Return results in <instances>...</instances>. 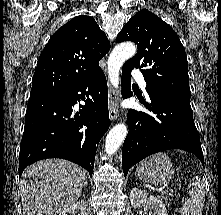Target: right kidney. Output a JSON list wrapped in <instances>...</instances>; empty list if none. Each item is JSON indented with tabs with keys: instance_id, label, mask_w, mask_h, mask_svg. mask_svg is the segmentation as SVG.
Listing matches in <instances>:
<instances>
[{
	"instance_id": "ca27d5eb",
	"label": "right kidney",
	"mask_w": 221,
	"mask_h": 215,
	"mask_svg": "<svg viewBox=\"0 0 221 215\" xmlns=\"http://www.w3.org/2000/svg\"><path fill=\"white\" fill-rule=\"evenodd\" d=\"M85 210L86 202L84 200H80L66 210L62 211L59 215H85Z\"/></svg>"
}]
</instances>
